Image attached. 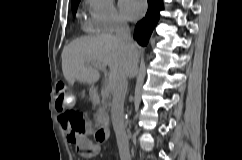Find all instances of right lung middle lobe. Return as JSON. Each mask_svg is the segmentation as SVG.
I'll return each mask as SVG.
<instances>
[{"instance_id": "dd1d6c3e", "label": "right lung middle lobe", "mask_w": 242, "mask_h": 160, "mask_svg": "<svg viewBox=\"0 0 242 160\" xmlns=\"http://www.w3.org/2000/svg\"><path fill=\"white\" fill-rule=\"evenodd\" d=\"M79 2H80V0H73L72 1V11H73V13L76 12V9L78 7Z\"/></svg>"}]
</instances>
